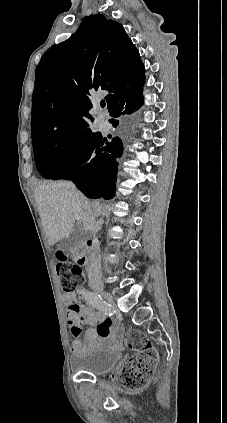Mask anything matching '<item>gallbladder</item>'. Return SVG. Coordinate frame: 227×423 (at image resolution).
Segmentation results:
<instances>
[{"mask_svg":"<svg viewBox=\"0 0 227 423\" xmlns=\"http://www.w3.org/2000/svg\"><path fill=\"white\" fill-rule=\"evenodd\" d=\"M87 231L83 229L82 225H78V227H74L73 231L69 233L68 237H64L60 243L57 245V249H61L65 255L70 253L72 247L81 243L82 239H86Z\"/></svg>","mask_w":227,"mask_h":423,"instance_id":"1","label":"gallbladder"}]
</instances>
